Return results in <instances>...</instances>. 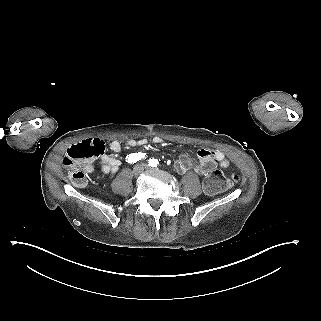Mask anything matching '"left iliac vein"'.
I'll return each instance as SVG.
<instances>
[{
  "mask_svg": "<svg viewBox=\"0 0 321 321\" xmlns=\"http://www.w3.org/2000/svg\"><path fill=\"white\" fill-rule=\"evenodd\" d=\"M146 169H149V170H155L154 168H150V167H148V166L146 167Z\"/></svg>",
  "mask_w": 321,
  "mask_h": 321,
  "instance_id": "obj_1",
  "label": "left iliac vein"
}]
</instances>
